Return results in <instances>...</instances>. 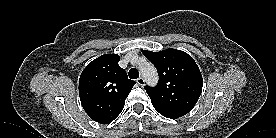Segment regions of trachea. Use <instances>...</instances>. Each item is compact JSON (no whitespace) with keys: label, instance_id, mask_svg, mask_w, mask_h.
Masks as SVG:
<instances>
[{"label":"trachea","instance_id":"1","mask_svg":"<svg viewBox=\"0 0 276 138\" xmlns=\"http://www.w3.org/2000/svg\"><path fill=\"white\" fill-rule=\"evenodd\" d=\"M128 75L131 79H137L139 77V71L135 68H132L129 70Z\"/></svg>","mask_w":276,"mask_h":138}]
</instances>
